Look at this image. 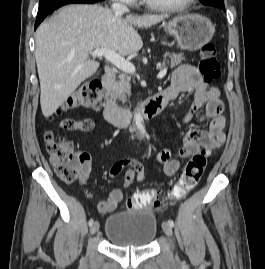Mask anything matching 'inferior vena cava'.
<instances>
[{"mask_svg":"<svg viewBox=\"0 0 265 269\" xmlns=\"http://www.w3.org/2000/svg\"><path fill=\"white\" fill-rule=\"evenodd\" d=\"M111 8H112L113 13L115 15H121V14L129 11L127 6L123 5L122 3H113Z\"/></svg>","mask_w":265,"mask_h":269,"instance_id":"inferior-vena-cava-1","label":"inferior vena cava"}]
</instances>
